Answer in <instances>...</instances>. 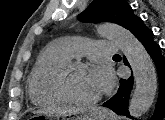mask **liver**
I'll list each match as a JSON object with an SVG mask.
<instances>
[{
  "label": "liver",
  "mask_w": 165,
  "mask_h": 120,
  "mask_svg": "<svg viewBox=\"0 0 165 120\" xmlns=\"http://www.w3.org/2000/svg\"><path fill=\"white\" fill-rule=\"evenodd\" d=\"M82 110L83 109H79V108L58 107V108L49 109L48 111L61 114V115H68V114L71 115V114H76Z\"/></svg>",
  "instance_id": "obj_1"
}]
</instances>
